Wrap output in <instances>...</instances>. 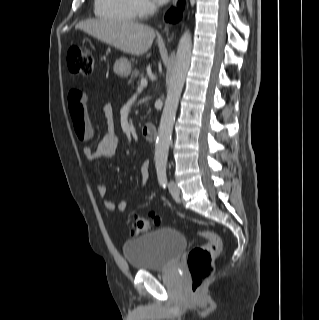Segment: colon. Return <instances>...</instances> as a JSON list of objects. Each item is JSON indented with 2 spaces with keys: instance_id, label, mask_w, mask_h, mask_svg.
I'll use <instances>...</instances> for the list:
<instances>
[{
  "instance_id": "5ec220e1",
  "label": "colon",
  "mask_w": 319,
  "mask_h": 320,
  "mask_svg": "<svg viewBox=\"0 0 319 320\" xmlns=\"http://www.w3.org/2000/svg\"><path fill=\"white\" fill-rule=\"evenodd\" d=\"M67 64L73 74L86 76L92 71L94 58L90 52L72 47L67 54ZM74 129L80 141H86L92 136L91 130L82 124H74ZM160 223V217L156 214L145 217L132 215L129 218V228L133 235L156 229ZM198 235L207 242L193 247L187 257V265L191 275L190 292L193 296L200 293L204 282L213 274L214 259L222 250V240L218 234L201 230Z\"/></svg>"
}]
</instances>
